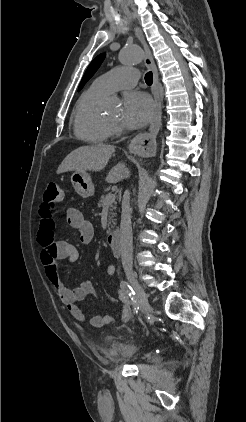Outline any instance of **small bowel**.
I'll return each mask as SVG.
<instances>
[{
	"mask_svg": "<svg viewBox=\"0 0 246 422\" xmlns=\"http://www.w3.org/2000/svg\"><path fill=\"white\" fill-rule=\"evenodd\" d=\"M54 213L45 204L40 208V225L38 231V242L41 246V260L45 267L46 275L62 304L68 312L77 320L84 321L85 317L78 306V302L84 300L87 296H95L96 289L88 281H82L74 288H68L60 275L58 261L67 260L69 263H75L79 258V252L74 245L67 241H58L55 239V220ZM67 223L78 232V238L81 243L88 244L94 237V228L92 224L85 219L83 214L75 208H69L66 211ZM107 275L113 279L116 268L109 264L106 268ZM117 297H111L116 302L120 311L118 315L123 321L131 316V304L128 295L118 289ZM115 316L94 315L89 319L91 326L100 328L110 325L114 322Z\"/></svg>",
	"mask_w": 246,
	"mask_h": 422,
	"instance_id": "c3829d8e",
	"label": "small bowel"
}]
</instances>
